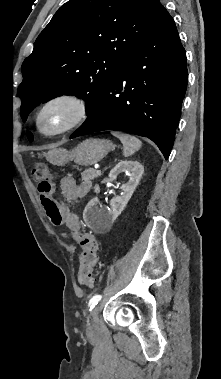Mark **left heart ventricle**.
I'll return each instance as SVG.
<instances>
[{
    "instance_id": "left-heart-ventricle-1",
    "label": "left heart ventricle",
    "mask_w": 221,
    "mask_h": 379,
    "mask_svg": "<svg viewBox=\"0 0 221 379\" xmlns=\"http://www.w3.org/2000/svg\"><path fill=\"white\" fill-rule=\"evenodd\" d=\"M66 118V111L61 107L50 109L43 118V126L48 129L59 127Z\"/></svg>"
}]
</instances>
